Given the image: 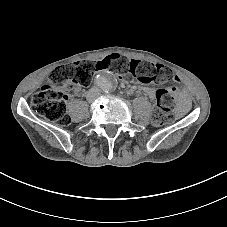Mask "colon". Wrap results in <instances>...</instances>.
Returning <instances> with one entry per match:
<instances>
[{
	"instance_id": "1",
	"label": "colon",
	"mask_w": 227,
	"mask_h": 227,
	"mask_svg": "<svg viewBox=\"0 0 227 227\" xmlns=\"http://www.w3.org/2000/svg\"><path fill=\"white\" fill-rule=\"evenodd\" d=\"M100 70H109L120 76L132 74L144 85L177 80V76L162 64L111 54L97 62L80 61L53 70L42 88L32 96L33 110L55 124L68 125L71 119L66 109L67 93L77 86H87L93 74ZM176 95L175 87L156 90V106L152 113L155 126H164L173 120Z\"/></svg>"
}]
</instances>
